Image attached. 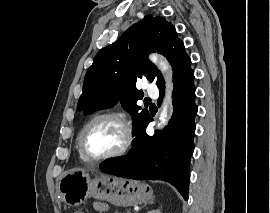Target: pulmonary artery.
Masks as SVG:
<instances>
[{
	"label": "pulmonary artery",
	"mask_w": 270,
	"mask_h": 213,
	"mask_svg": "<svg viewBox=\"0 0 270 213\" xmlns=\"http://www.w3.org/2000/svg\"><path fill=\"white\" fill-rule=\"evenodd\" d=\"M146 92L149 96H153V97L158 96V89H157L156 85H154L153 83L147 84Z\"/></svg>",
	"instance_id": "pulmonary-artery-1"
}]
</instances>
